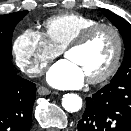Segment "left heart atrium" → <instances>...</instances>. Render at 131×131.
Instances as JSON below:
<instances>
[{"label":"left heart atrium","instance_id":"obj_1","mask_svg":"<svg viewBox=\"0 0 131 131\" xmlns=\"http://www.w3.org/2000/svg\"><path fill=\"white\" fill-rule=\"evenodd\" d=\"M47 81L59 89H74L83 85L85 76L74 62L66 58L49 69Z\"/></svg>","mask_w":131,"mask_h":131}]
</instances>
